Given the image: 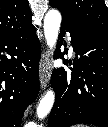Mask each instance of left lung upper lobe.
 <instances>
[{
    "instance_id": "5c2ea615",
    "label": "left lung upper lobe",
    "mask_w": 108,
    "mask_h": 127,
    "mask_svg": "<svg viewBox=\"0 0 108 127\" xmlns=\"http://www.w3.org/2000/svg\"><path fill=\"white\" fill-rule=\"evenodd\" d=\"M50 6L58 8L63 18L108 34V7L104 0H50Z\"/></svg>"
}]
</instances>
